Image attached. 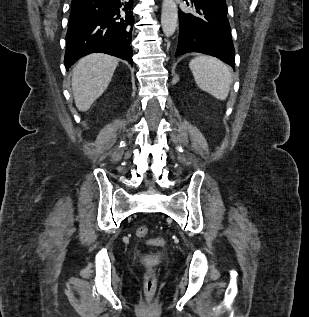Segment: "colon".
Segmentation results:
<instances>
[{
    "mask_svg": "<svg viewBox=\"0 0 309 317\" xmlns=\"http://www.w3.org/2000/svg\"><path fill=\"white\" fill-rule=\"evenodd\" d=\"M135 234L138 238H145L148 234V229L145 226H139ZM150 245L154 246H165L166 241L162 238H154L148 241ZM156 286H157V280H156V273L154 268H149L147 272L145 273L144 277V290H145V295L147 299H152L155 291H156Z\"/></svg>",
    "mask_w": 309,
    "mask_h": 317,
    "instance_id": "obj_1",
    "label": "colon"
}]
</instances>
